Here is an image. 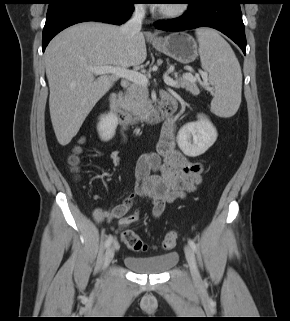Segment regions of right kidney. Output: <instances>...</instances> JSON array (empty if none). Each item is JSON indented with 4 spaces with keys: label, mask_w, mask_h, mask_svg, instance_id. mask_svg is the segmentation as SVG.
I'll return each instance as SVG.
<instances>
[{
    "label": "right kidney",
    "mask_w": 290,
    "mask_h": 321,
    "mask_svg": "<svg viewBox=\"0 0 290 321\" xmlns=\"http://www.w3.org/2000/svg\"><path fill=\"white\" fill-rule=\"evenodd\" d=\"M118 125L117 117L112 114H104L100 117V121L97 126V130L100 138L103 141H108L115 135V130Z\"/></svg>",
    "instance_id": "1"
}]
</instances>
